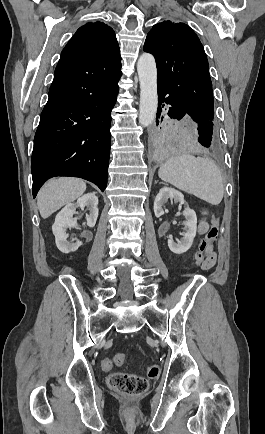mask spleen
Listing matches in <instances>:
<instances>
[{
	"label": "spleen",
	"instance_id": "3e777b00",
	"mask_svg": "<svg viewBox=\"0 0 265 434\" xmlns=\"http://www.w3.org/2000/svg\"><path fill=\"white\" fill-rule=\"evenodd\" d=\"M159 178L178 190L193 194L200 200L218 206L224 196L220 170L209 158H195L192 154L174 156L160 166Z\"/></svg>",
	"mask_w": 265,
	"mask_h": 434
}]
</instances>
